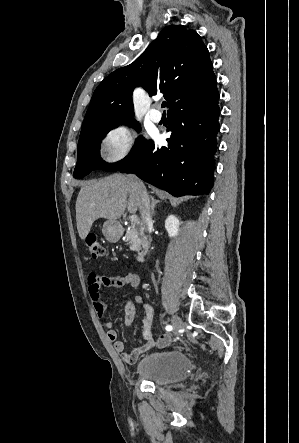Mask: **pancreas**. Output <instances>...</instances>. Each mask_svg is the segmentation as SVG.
Masks as SVG:
<instances>
[{
  "mask_svg": "<svg viewBox=\"0 0 299 443\" xmlns=\"http://www.w3.org/2000/svg\"><path fill=\"white\" fill-rule=\"evenodd\" d=\"M141 235L142 230L138 227H135L134 225H132V227L127 230L125 240L128 242L131 250H137L140 244Z\"/></svg>",
  "mask_w": 299,
  "mask_h": 443,
  "instance_id": "1",
  "label": "pancreas"
}]
</instances>
